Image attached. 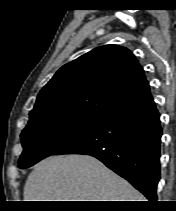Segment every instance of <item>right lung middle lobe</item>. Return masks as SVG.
Segmentation results:
<instances>
[{
    "label": "right lung middle lobe",
    "mask_w": 176,
    "mask_h": 211,
    "mask_svg": "<svg viewBox=\"0 0 176 211\" xmlns=\"http://www.w3.org/2000/svg\"><path fill=\"white\" fill-rule=\"evenodd\" d=\"M102 119L65 110H49L30 115L29 122L21 133L23 153L19 158V168H28L54 154Z\"/></svg>",
    "instance_id": "1"
}]
</instances>
